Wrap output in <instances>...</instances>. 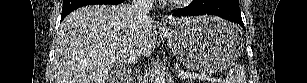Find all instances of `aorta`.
<instances>
[{
  "label": "aorta",
  "instance_id": "762f6f07",
  "mask_svg": "<svg viewBox=\"0 0 307 83\" xmlns=\"http://www.w3.org/2000/svg\"><path fill=\"white\" fill-rule=\"evenodd\" d=\"M154 83H165L164 75L160 71H156Z\"/></svg>",
  "mask_w": 307,
  "mask_h": 83
}]
</instances>
